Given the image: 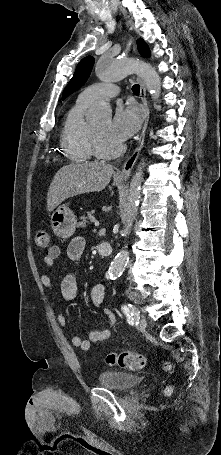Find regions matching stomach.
Here are the masks:
<instances>
[{
    "label": "stomach",
    "mask_w": 221,
    "mask_h": 455,
    "mask_svg": "<svg viewBox=\"0 0 221 455\" xmlns=\"http://www.w3.org/2000/svg\"><path fill=\"white\" fill-rule=\"evenodd\" d=\"M50 222L55 235L63 239L70 238L76 230L75 215L66 205L53 211Z\"/></svg>",
    "instance_id": "stomach-1"
}]
</instances>
